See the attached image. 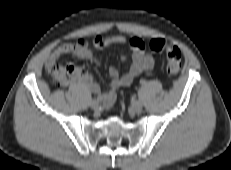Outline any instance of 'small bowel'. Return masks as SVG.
<instances>
[{
    "mask_svg": "<svg viewBox=\"0 0 231 170\" xmlns=\"http://www.w3.org/2000/svg\"><path fill=\"white\" fill-rule=\"evenodd\" d=\"M121 45L126 47V52L122 54L123 59L131 60L130 67L123 73H120L115 67H110L108 74L110 82L107 90H102L93 76L87 72L75 78V81L84 85L92 93L101 97L105 106L113 105L115 101V91L122 86H129L133 80L140 74L151 70L154 67L155 60L152 54L145 50V44L140 38L128 39L122 35H113L108 37L96 36L90 46L86 39L79 38L76 43H64L58 46L46 59V66L57 63L63 55H71L79 59L100 63L98 51L110 45Z\"/></svg>",
    "mask_w": 231,
    "mask_h": 170,
    "instance_id": "c3829d8e",
    "label": "small bowel"
}]
</instances>
